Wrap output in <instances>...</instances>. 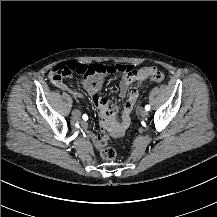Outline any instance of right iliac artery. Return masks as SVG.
<instances>
[{"mask_svg": "<svg viewBox=\"0 0 217 217\" xmlns=\"http://www.w3.org/2000/svg\"><path fill=\"white\" fill-rule=\"evenodd\" d=\"M82 119L87 121L89 118H88L87 115H83V116H82Z\"/></svg>", "mask_w": 217, "mask_h": 217, "instance_id": "obj_1", "label": "right iliac artery"}]
</instances>
